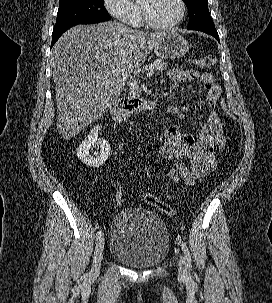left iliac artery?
<instances>
[{"instance_id":"obj_1","label":"left iliac artery","mask_w":272,"mask_h":303,"mask_svg":"<svg viewBox=\"0 0 272 303\" xmlns=\"http://www.w3.org/2000/svg\"><path fill=\"white\" fill-rule=\"evenodd\" d=\"M180 244H181V248H182V250H183V252L185 254V257L187 259V267L189 269H191L192 268V263H191L192 261H191V255H190L189 249H188V247H187V245H186L185 242L180 241Z\"/></svg>"}]
</instances>
